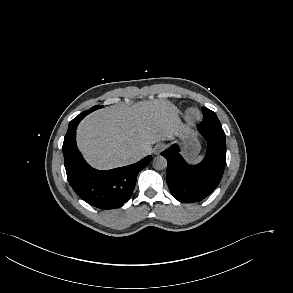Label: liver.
Instances as JSON below:
<instances>
[{
  "label": "liver",
  "mask_w": 293,
  "mask_h": 293,
  "mask_svg": "<svg viewBox=\"0 0 293 293\" xmlns=\"http://www.w3.org/2000/svg\"><path fill=\"white\" fill-rule=\"evenodd\" d=\"M181 126L178 111L161 100L132 106L112 105L88 115L77 129V146L86 160L99 169L125 166L133 155L142 158L152 145L173 138Z\"/></svg>",
  "instance_id": "6515ba94"
}]
</instances>
